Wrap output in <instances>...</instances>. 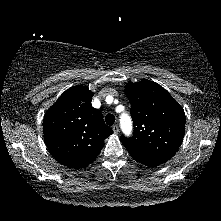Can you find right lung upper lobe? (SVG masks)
<instances>
[{
  "label": "right lung upper lobe",
  "mask_w": 221,
  "mask_h": 221,
  "mask_svg": "<svg viewBox=\"0 0 221 221\" xmlns=\"http://www.w3.org/2000/svg\"><path fill=\"white\" fill-rule=\"evenodd\" d=\"M93 95L82 85L69 88L44 116L45 143L61 165L86 167L102 150L104 139L113 133L102 113L92 107Z\"/></svg>",
  "instance_id": "1"
}]
</instances>
